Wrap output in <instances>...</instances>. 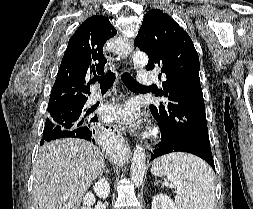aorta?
Returning a JSON list of instances; mask_svg holds the SVG:
<instances>
[{
    "label": "aorta",
    "instance_id": "aorta-1",
    "mask_svg": "<svg viewBox=\"0 0 253 209\" xmlns=\"http://www.w3.org/2000/svg\"><path fill=\"white\" fill-rule=\"evenodd\" d=\"M133 63L138 67H145L148 63V56L145 53L137 52L133 55ZM146 170L145 150L140 145L134 149L131 164V180L136 187L141 186Z\"/></svg>",
    "mask_w": 253,
    "mask_h": 209
}]
</instances>
